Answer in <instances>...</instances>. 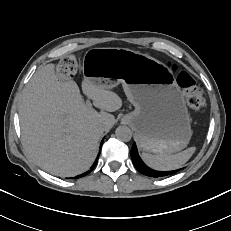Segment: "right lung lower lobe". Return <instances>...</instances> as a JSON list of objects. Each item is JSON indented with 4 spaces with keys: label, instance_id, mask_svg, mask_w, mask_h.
Returning a JSON list of instances; mask_svg holds the SVG:
<instances>
[{
    "label": "right lung lower lobe",
    "instance_id": "1",
    "mask_svg": "<svg viewBox=\"0 0 231 231\" xmlns=\"http://www.w3.org/2000/svg\"><path fill=\"white\" fill-rule=\"evenodd\" d=\"M102 143H103V140H102ZM102 143H101V145H102ZM97 161H98V158L95 160L93 166L91 167V169H90L89 171H87L86 173H84V174H82V175L76 176L75 178H81V177H83V176L89 174V173L95 168V166H96V164H97Z\"/></svg>",
    "mask_w": 231,
    "mask_h": 231
}]
</instances>
